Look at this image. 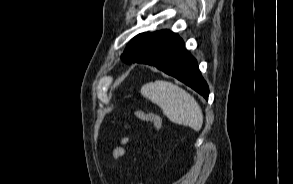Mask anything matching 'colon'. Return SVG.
Instances as JSON below:
<instances>
[{"mask_svg": "<svg viewBox=\"0 0 293 184\" xmlns=\"http://www.w3.org/2000/svg\"><path fill=\"white\" fill-rule=\"evenodd\" d=\"M134 116L141 121L150 122L153 124L155 131H159L162 127L161 118L154 113H146L141 110H134ZM136 184H143L141 182H137Z\"/></svg>", "mask_w": 293, "mask_h": 184, "instance_id": "colon-1", "label": "colon"}]
</instances>
